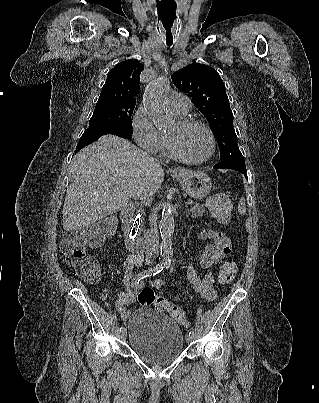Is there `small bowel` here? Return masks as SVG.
Masks as SVG:
<instances>
[{
    "label": "small bowel",
    "instance_id": "1",
    "mask_svg": "<svg viewBox=\"0 0 319 403\" xmlns=\"http://www.w3.org/2000/svg\"><path fill=\"white\" fill-rule=\"evenodd\" d=\"M200 239H211L213 241L205 248L200 258V266L206 272L203 278H200L197 275L192 263L188 262L187 273L195 291L207 301L212 302L216 299L217 293L214 289L215 278L210 269L230 254L231 243L224 234L217 231H208L207 233L203 234ZM141 262L142 259L140 256L133 255L124 263V289L119 300L113 305L114 309L120 314L123 321H126L129 317V310L127 307H130L134 304L135 294H137L138 291L144 286V284H141L137 287H132V268L134 266H139ZM147 285L155 288H161L166 286V283L161 280H154L148 282ZM132 288L134 291H132Z\"/></svg>",
    "mask_w": 319,
    "mask_h": 403
}]
</instances>
